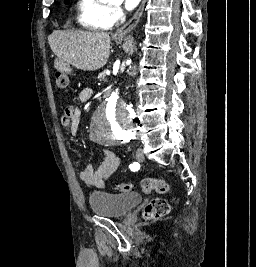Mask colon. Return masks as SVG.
<instances>
[{
  "instance_id": "1",
  "label": "colon",
  "mask_w": 256,
  "mask_h": 267,
  "mask_svg": "<svg viewBox=\"0 0 256 267\" xmlns=\"http://www.w3.org/2000/svg\"><path fill=\"white\" fill-rule=\"evenodd\" d=\"M55 83L60 90H66L70 83L69 74H61V70L57 69ZM141 188L145 194L169 192L167 191L168 185L163 180L156 178H144L141 181ZM116 189L120 192H131L133 185L129 182H120L116 184ZM169 210V203L165 199L156 198L146 205L144 214L148 218L155 219L165 216Z\"/></svg>"
}]
</instances>
